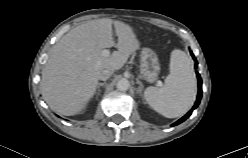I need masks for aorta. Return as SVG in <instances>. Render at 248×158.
Returning a JSON list of instances; mask_svg holds the SVG:
<instances>
[{
  "label": "aorta",
  "mask_w": 248,
  "mask_h": 158,
  "mask_svg": "<svg viewBox=\"0 0 248 158\" xmlns=\"http://www.w3.org/2000/svg\"><path fill=\"white\" fill-rule=\"evenodd\" d=\"M130 87V83L127 79H121L117 82V89L120 91L128 90Z\"/></svg>",
  "instance_id": "aorta-1"
}]
</instances>
